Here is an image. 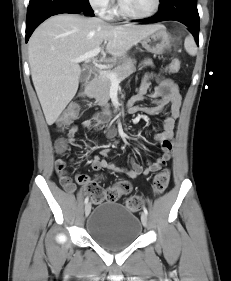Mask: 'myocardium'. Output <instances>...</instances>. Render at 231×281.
Listing matches in <instances>:
<instances>
[{"mask_svg":"<svg viewBox=\"0 0 231 281\" xmlns=\"http://www.w3.org/2000/svg\"><path fill=\"white\" fill-rule=\"evenodd\" d=\"M117 4H118V12L122 16L131 18V19H136V20L149 19V18L155 16L161 8V0H155L154 7L150 12L145 13V14H136V13H133V12L129 11L128 9H126L122 0H117Z\"/></svg>","mask_w":231,"mask_h":281,"instance_id":"myocardium-1","label":"myocardium"}]
</instances>
